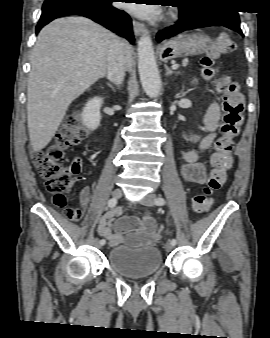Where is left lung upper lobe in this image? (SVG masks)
<instances>
[{
	"label": "left lung upper lobe",
	"instance_id": "1",
	"mask_svg": "<svg viewBox=\"0 0 270 338\" xmlns=\"http://www.w3.org/2000/svg\"><path fill=\"white\" fill-rule=\"evenodd\" d=\"M229 0H179V9L185 13H194L208 5L227 3Z\"/></svg>",
	"mask_w": 270,
	"mask_h": 338
}]
</instances>
